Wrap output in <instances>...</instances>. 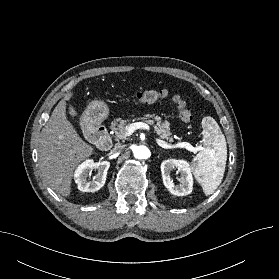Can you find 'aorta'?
<instances>
[{
    "mask_svg": "<svg viewBox=\"0 0 279 279\" xmlns=\"http://www.w3.org/2000/svg\"><path fill=\"white\" fill-rule=\"evenodd\" d=\"M134 157L136 159H147L150 156V151L146 146H137L134 151Z\"/></svg>",
    "mask_w": 279,
    "mask_h": 279,
    "instance_id": "obj_1",
    "label": "aorta"
}]
</instances>
